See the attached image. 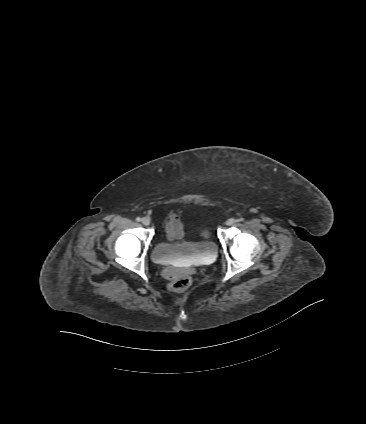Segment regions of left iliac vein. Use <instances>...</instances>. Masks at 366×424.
Listing matches in <instances>:
<instances>
[{
    "label": "left iliac vein",
    "mask_w": 366,
    "mask_h": 424,
    "mask_svg": "<svg viewBox=\"0 0 366 424\" xmlns=\"http://www.w3.org/2000/svg\"><path fill=\"white\" fill-rule=\"evenodd\" d=\"M235 222H236V220H235V219L230 218V219H228V220L226 221V224H227L228 226H232V225H234V224H235Z\"/></svg>",
    "instance_id": "1"
}]
</instances>
